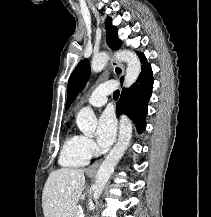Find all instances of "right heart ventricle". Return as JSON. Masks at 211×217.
Listing matches in <instances>:
<instances>
[{
  "label": "right heart ventricle",
  "instance_id": "1",
  "mask_svg": "<svg viewBox=\"0 0 211 217\" xmlns=\"http://www.w3.org/2000/svg\"><path fill=\"white\" fill-rule=\"evenodd\" d=\"M89 158L83 146V136L68 135L62 146L60 164L65 167H81L88 163Z\"/></svg>",
  "mask_w": 211,
  "mask_h": 217
}]
</instances>
